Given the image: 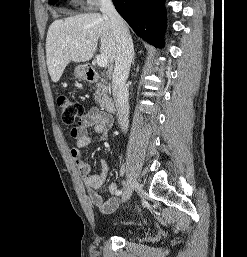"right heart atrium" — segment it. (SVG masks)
Returning a JSON list of instances; mask_svg holds the SVG:
<instances>
[{"label":"right heart atrium","mask_w":247,"mask_h":257,"mask_svg":"<svg viewBox=\"0 0 247 257\" xmlns=\"http://www.w3.org/2000/svg\"><path fill=\"white\" fill-rule=\"evenodd\" d=\"M74 1L84 7L93 8V7L97 6L100 2H102L103 0H74Z\"/></svg>","instance_id":"d8ad5b80"}]
</instances>
